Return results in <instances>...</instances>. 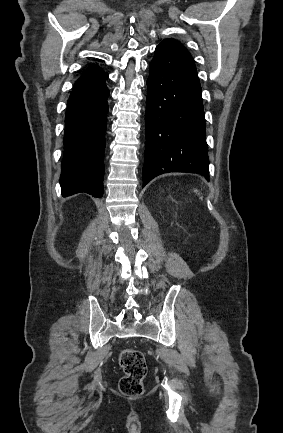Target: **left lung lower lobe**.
Here are the masks:
<instances>
[{
    "mask_svg": "<svg viewBox=\"0 0 283 433\" xmlns=\"http://www.w3.org/2000/svg\"><path fill=\"white\" fill-rule=\"evenodd\" d=\"M149 68L143 187L169 172L209 180L201 86L192 56L182 45L161 43Z\"/></svg>",
    "mask_w": 283,
    "mask_h": 433,
    "instance_id": "0a47b994",
    "label": "left lung lower lobe"
}]
</instances>
